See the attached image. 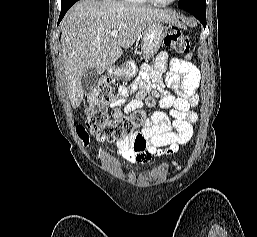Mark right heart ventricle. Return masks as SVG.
<instances>
[{
  "mask_svg": "<svg viewBox=\"0 0 257 237\" xmlns=\"http://www.w3.org/2000/svg\"><path fill=\"white\" fill-rule=\"evenodd\" d=\"M125 2H132V3H145L147 0H122Z\"/></svg>",
  "mask_w": 257,
  "mask_h": 237,
  "instance_id": "e07e8e85",
  "label": "right heart ventricle"
}]
</instances>
